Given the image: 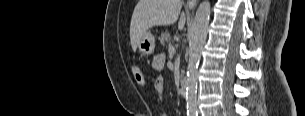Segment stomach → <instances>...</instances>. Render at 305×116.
Returning <instances> with one entry per match:
<instances>
[{
	"label": "stomach",
	"instance_id": "0dacf381",
	"mask_svg": "<svg viewBox=\"0 0 305 116\" xmlns=\"http://www.w3.org/2000/svg\"><path fill=\"white\" fill-rule=\"evenodd\" d=\"M139 51L145 55H151L155 49V38L150 31H147L138 44Z\"/></svg>",
	"mask_w": 305,
	"mask_h": 116
}]
</instances>
